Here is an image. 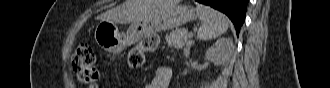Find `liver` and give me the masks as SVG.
Masks as SVG:
<instances>
[{
	"label": "liver",
	"instance_id": "obj_1",
	"mask_svg": "<svg viewBox=\"0 0 330 88\" xmlns=\"http://www.w3.org/2000/svg\"><path fill=\"white\" fill-rule=\"evenodd\" d=\"M177 0H127L122 5L101 15L102 20L118 23L137 22L149 17L163 5Z\"/></svg>",
	"mask_w": 330,
	"mask_h": 88
}]
</instances>
